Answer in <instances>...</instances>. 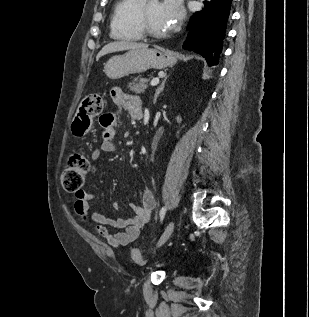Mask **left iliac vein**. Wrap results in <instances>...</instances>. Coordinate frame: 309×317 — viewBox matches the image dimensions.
I'll return each mask as SVG.
<instances>
[{
    "mask_svg": "<svg viewBox=\"0 0 309 317\" xmlns=\"http://www.w3.org/2000/svg\"><path fill=\"white\" fill-rule=\"evenodd\" d=\"M174 227H175V222L172 220L166 226L162 236L160 237V239L157 243V247L162 246L170 238L171 234L174 231Z\"/></svg>",
    "mask_w": 309,
    "mask_h": 317,
    "instance_id": "left-iliac-vein-1",
    "label": "left iliac vein"
}]
</instances>
